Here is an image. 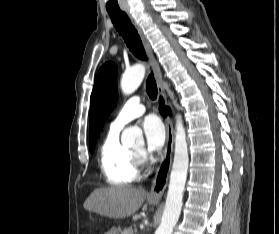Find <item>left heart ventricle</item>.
Listing matches in <instances>:
<instances>
[{
    "instance_id": "1",
    "label": "left heart ventricle",
    "mask_w": 279,
    "mask_h": 234,
    "mask_svg": "<svg viewBox=\"0 0 279 234\" xmlns=\"http://www.w3.org/2000/svg\"><path fill=\"white\" fill-rule=\"evenodd\" d=\"M135 150H137V151L142 150V146H138V147H136V148H135Z\"/></svg>"
}]
</instances>
